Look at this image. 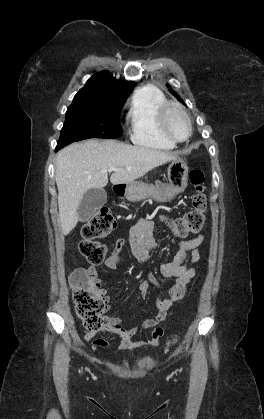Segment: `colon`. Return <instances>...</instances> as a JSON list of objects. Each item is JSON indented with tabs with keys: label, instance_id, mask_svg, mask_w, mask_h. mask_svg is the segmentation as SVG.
Segmentation results:
<instances>
[{
	"label": "colon",
	"instance_id": "obj_1",
	"mask_svg": "<svg viewBox=\"0 0 264 419\" xmlns=\"http://www.w3.org/2000/svg\"><path fill=\"white\" fill-rule=\"evenodd\" d=\"M190 182L195 187L192 197V209L182 217L171 221L170 227L178 237H185L190 233L201 230L204 224L206 198L203 193L204 175L201 170L193 169L189 174ZM116 226L115 219L107 209L98 211L82 228V241L79 244L80 253L94 265L101 264L105 259L110 265L118 262V252L112 251L107 255V249L97 241L111 233ZM69 284L73 291V298L78 316L88 331L96 332L103 328V317L107 302L99 293L96 283L84 271L77 270L70 274ZM177 337L167 343V347L175 344Z\"/></svg>",
	"mask_w": 264,
	"mask_h": 419
}]
</instances>
